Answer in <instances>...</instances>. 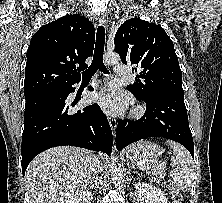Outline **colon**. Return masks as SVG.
<instances>
[{"instance_id": "colon-1", "label": "colon", "mask_w": 222, "mask_h": 203, "mask_svg": "<svg viewBox=\"0 0 222 203\" xmlns=\"http://www.w3.org/2000/svg\"><path fill=\"white\" fill-rule=\"evenodd\" d=\"M170 191H171L173 203H181L180 191L174 183H170Z\"/></svg>"}]
</instances>
